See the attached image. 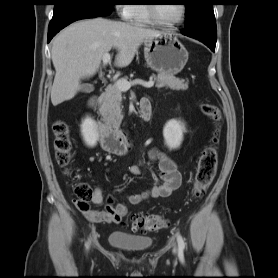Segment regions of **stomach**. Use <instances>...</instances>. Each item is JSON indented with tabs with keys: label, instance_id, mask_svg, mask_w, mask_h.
Instances as JSON below:
<instances>
[{
	"label": "stomach",
	"instance_id": "stomach-1",
	"mask_svg": "<svg viewBox=\"0 0 278 278\" xmlns=\"http://www.w3.org/2000/svg\"><path fill=\"white\" fill-rule=\"evenodd\" d=\"M144 57L148 67L158 73L176 75L188 61V51L178 38L169 33L146 39Z\"/></svg>",
	"mask_w": 278,
	"mask_h": 278
}]
</instances>
